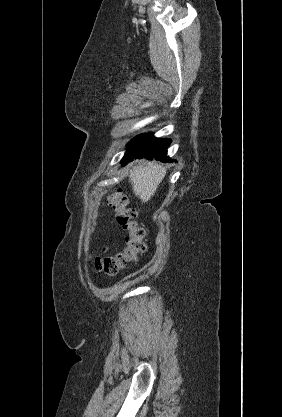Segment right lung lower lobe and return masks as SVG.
<instances>
[{
    "instance_id": "obj_1",
    "label": "right lung lower lobe",
    "mask_w": 282,
    "mask_h": 417,
    "mask_svg": "<svg viewBox=\"0 0 282 417\" xmlns=\"http://www.w3.org/2000/svg\"><path fill=\"white\" fill-rule=\"evenodd\" d=\"M170 139H157L151 134H144L135 137L129 144L128 150L122 160V165L127 164L133 159L153 158L162 162H173L166 156Z\"/></svg>"
}]
</instances>
